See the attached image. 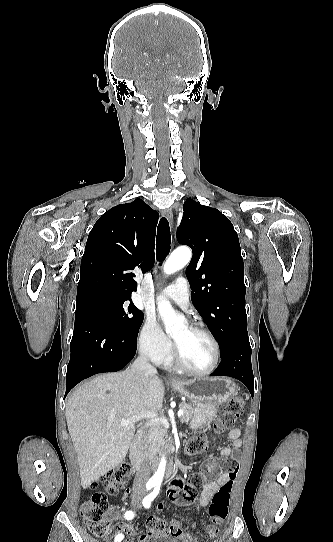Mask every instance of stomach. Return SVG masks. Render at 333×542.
Here are the masks:
<instances>
[{
	"mask_svg": "<svg viewBox=\"0 0 333 542\" xmlns=\"http://www.w3.org/2000/svg\"><path fill=\"white\" fill-rule=\"evenodd\" d=\"M170 386L195 404L190 424L193 430L213 422L219 406L237 394V386L230 378H194L186 382L175 380Z\"/></svg>",
	"mask_w": 333,
	"mask_h": 542,
	"instance_id": "obj_1",
	"label": "stomach"
}]
</instances>
